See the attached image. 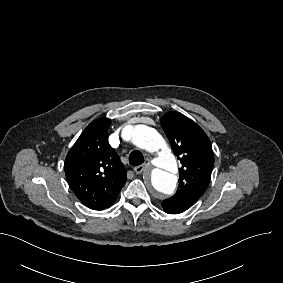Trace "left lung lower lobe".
<instances>
[{
	"label": "left lung lower lobe",
	"instance_id": "left-lung-lower-lobe-1",
	"mask_svg": "<svg viewBox=\"0 0 283 283\" xmlns=\"http://www.w3.org/2000/svg\"><path fill=\"white\" fill-rule=\"evenodd\" d=\"M164 211L168 214H178V213H182L184 212L185 210H182V209H176V208H170V207H167L166 205H162Z\"/></svg>",
	"mask_w": 283,
	"mask_h": 283
}]
</instances>
